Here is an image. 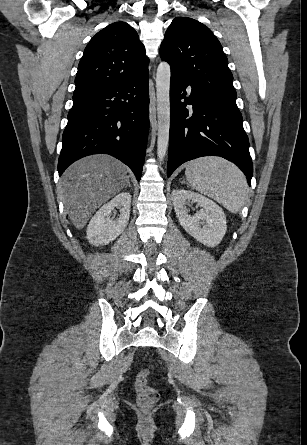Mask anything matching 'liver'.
<instances>
[{
  "instance_id": "obj_1",
  "label": "liver",
  "mask_w": 307,
  "mask_h": 445,
  "mask_svg": "<svg viewBox=\"0 0 307 445\" xmlns=\"http://www.w3.org/2000/svg\"><path fill=\"white\" fill-rule=\"evenodd\" d=\"M129 184L127 166L110 154L73 162L59 180V194L76 229L87 225L96 208Z\"/></svg>"
}]
</instances>
